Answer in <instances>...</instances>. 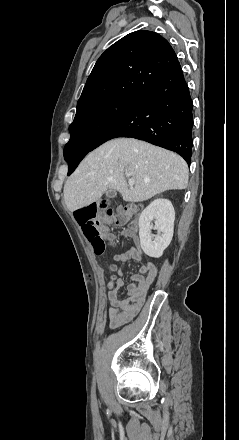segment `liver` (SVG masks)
<instances>
[{"label": "liver", "mask_w": 239, "mask_h": 440, "mask_svg": "<svg viewBox=\"0 0 239 440\" xmlns=\"http://www.w3.org/2000/svg\"><path fill=\"white\" fill-rule=\"evenodd\" d=\"M126 178L134 180V188L129 190ZM188 180V166L178 154L115 138L88 154L67 178L64 200L70 212L96 202L106 190H118L125 202H144L165 190H185Z\"/></svg>", "instance_id": "1"}]
</instances>
